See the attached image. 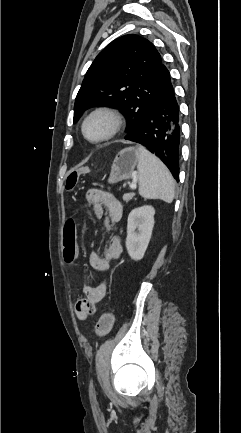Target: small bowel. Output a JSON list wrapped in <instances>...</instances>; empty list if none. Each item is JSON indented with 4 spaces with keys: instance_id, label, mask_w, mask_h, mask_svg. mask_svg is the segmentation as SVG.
<instances>
[{
    "instance_id": "small-bowel-1",
    "label": "small bowel",
    "mask_w": 241,
    "mask_h": 433,
    "mask_svg": "<svg viewBox=\"0 0 241 433\" xmlns=\"http://www.w3.org/2000/svg\"><path fill=\"white\" fill-rule=\"evenodd\" d=\"M87 201L94 207L96 217L104 221L106 228H110V223H116L122 217V204L110 192L92 189L87 193ZM122 252L121 239L118 236H113L102 255L95 252L90 254L89 263L97 271H106L113 262L121 257ZM106 291L107 282H103L98 286L85 285L83 288L84 296L75 304L76 317L79 320H85L88 316L94 314L97 311L99 302L106 295Z\"/></svg>"
}]
</instances>
